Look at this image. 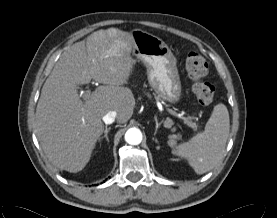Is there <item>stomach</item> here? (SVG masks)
<instances>
[{"mask_svg": "<svg viewBox=\"0 0 277 218\" xmlns=\"http://www.w3.org/2000/svg\"><path fill=\"white\" fill-rule=\"evenodd\" d=\"M133 54L147 68L149 85L158 98L174 104L182 97V85L176 66V58L167 44L146 31H132Z\"/></svg>", "mask_w": 277, "mask_h": 218, "instance_id": "stomach-1", "label": "stomach"}]
</instances>
